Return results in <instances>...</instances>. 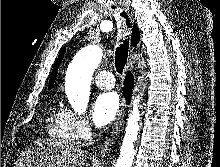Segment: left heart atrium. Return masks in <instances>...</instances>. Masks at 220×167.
I'll return each mask as SVG.
<instances>
[{
  "label": "left heart atrium",
  "mask_w": 220,
  "mask_h": 167,
  "mask_svg": "<svg viewBox=\"0 0 220 167\" xmlns=\"http://www.w3.org/2000/svg\"><path fill=\"white\" fill-rule=\"evenodd\" d=\"M119 97L115 92L100 94L93 105V120L97 126H105L116 116L119 109Z\"/></svg>",
  "instance_id": "obj_1"
}]
</instances>
